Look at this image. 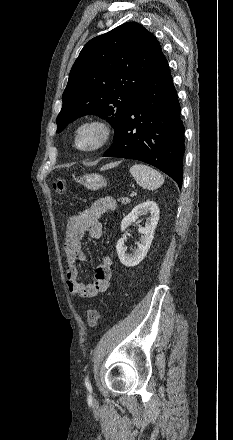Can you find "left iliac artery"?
<instances>
[{"label":"left iliac artery","instance_id":"obj_1","mask_svg":"<svg viewBox=\"0 0 233 440\" xmlns=\"http://www.w3.org/2000/svg\"><path fill=\"white\" fill-rule=\"evenodd\" d=\"M85 385H86V387L90 390L91 389V384H90V381H89V377L88 376H86V378H85Z\"/></svg>","mask_w":233,"mask_h":440}]
</instances>
